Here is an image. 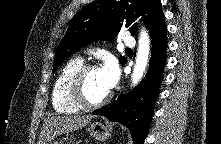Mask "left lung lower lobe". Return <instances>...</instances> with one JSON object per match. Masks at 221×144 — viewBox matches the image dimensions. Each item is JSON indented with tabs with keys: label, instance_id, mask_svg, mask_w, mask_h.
<instances>
[{
	"label": "left lung lower lobe",
	"instance_id": "left-lung-lower-lobe-1",
	"mask_svg": "<svg viewBox=\"0 0 221 144\" xmlns=\"http://www.w3.org/2000/svg\"><path fill=\"white\" fill-rule=\"evenodd\" d=\"M150 34L152 53L144 80L133 91L121 95L116 101L93 112L128 127L134 144H143L149 131L153 107L160 93L159 86L163 80L167 50L164 15L157 21Z\"/></svg>",
	"mask_w": 221,
	"mask_h": 144
}]
</instances>
